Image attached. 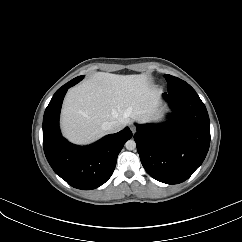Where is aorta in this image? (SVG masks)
<instances>
[{
  "mask_svg": "<svg viewBox=\"0 0 242 242\" xmlns=\"http://www.w3.org/2000/svg\"><path fill=\"white\" fill-rule=\"evenodd\" d=\"M125 147L128 150H134L136 148V143L134 140L130 139L125 143Z\"/></svg>",
  "mask_w": 242,
  "mask_h": 242,
  "instance_id": "1",
  "label": "aorta"
}]
</instances>
